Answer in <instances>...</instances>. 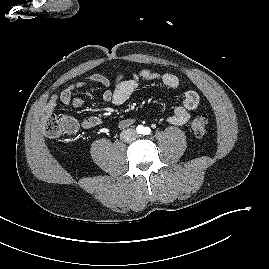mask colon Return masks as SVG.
Returning a JSON list of instances; mask_svg holds the SVG:
<instances>
[{
	"label": "colon",
	"mask_w": 269,
	"mask_h": 269,
	"mask_svg": "<svg viewBox=\"0 0 269 269\" xmlns=\"http://www.w3.org/2000/svg\"><path fill=\"white\" fill-rule=\"evenodd\" d=\"M208 126V117L205 114L197 115L191 122V129L196 137L205 135ZM74 130V124L68 116H58L48 113L44 119V132L50 138H58Z\"/></svg>",
	"instance_id": "colon-1"
}]
</instances>
